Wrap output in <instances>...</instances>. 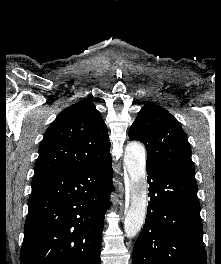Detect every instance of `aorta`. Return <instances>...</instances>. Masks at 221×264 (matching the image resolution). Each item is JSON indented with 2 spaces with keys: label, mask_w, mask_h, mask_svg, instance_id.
I'll use <instances>...</instances> for the list:
<instances>
[{
  "label": "aorta",
  "mask_w": 221,
  "mask_h": 264,
  "mask_svg": "<svg viewBox=\"0 0 221 264\" xmlns=\"http://www.w3.org/2000/svg\"><path fill=\"white\" fill-rule=\"evenodd\" d=\"M124 163L128 174L126 192L130 200L124 231L128 238H133L141 231L147 211L146 150L144 146L138 142L129 143L125 148Z\"/></svg>",
  "instance_id": "obj_1"
}]
</instances>
